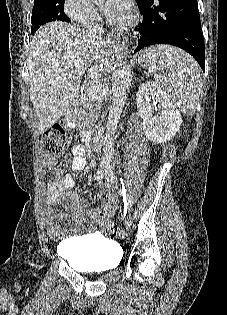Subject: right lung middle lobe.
<instances>
[{
  "mask_svg": "<svg viewBox=\"0 0 227 315\" xmlns=\"http://www.w3.org/2000/svg\"><path fill=\"white\" fill-rule=\"evenodd\" d=\"M65 0H34L32 10V27L31 32L34 33L40 25L60 20L69 22L70 19L64 14Z\"/></svg>",
  "mask_w": 227,
  "mask_h": 315,
  "instance_id": "right-lung-middle-lobe-1",
  "label": "right lung middle lobe"
}]
</instances>
